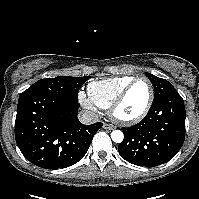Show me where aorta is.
Wrapping results in <instances>:
<instances>
[{
  "label": "aorta",
  "instance_id": "obj_1",
  "mask_svg": "<svg viewBox=\"0 0 199 199\" xmlns=\"http://www.w3.org/2000/svg\"><path fill=\"white\" fill-rule=\"evenodd\" d=\"M124 135L123 132L120 130H114L111 133V139L115 142V143H121L123 141Z\"/></svg>",
  "mask_w": 199,
  "mask_h": 199
}]
</instances>
